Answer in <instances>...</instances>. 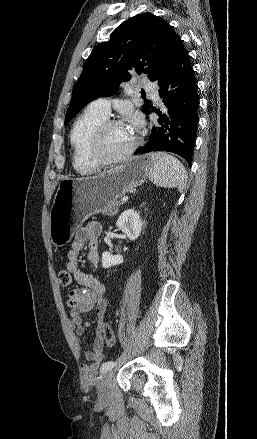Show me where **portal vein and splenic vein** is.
Here are the masks:
<instances>
[{"label": "portal vein and splenic vein", "mask_w": 257, "mask_h": 439, "mask_svg": "<svg viewBox=\"0 0 257 439\" xmlns=\"http://www.w3.org/2000/svg\"><path fill=\"white\" fill-rule=\"evenodd\" d=\"M128 199H129L128 196H124V197L121 199V201H122V202H125V201H128Z\"/></svg>", "instance_id": "18ae733b"}]
</instances>
